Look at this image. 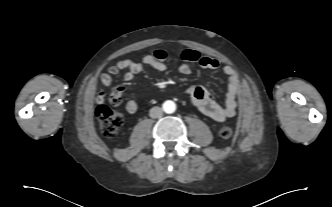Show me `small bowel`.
<instances>
[{
  "label": "small bowel",
  "instance_id": "1",
  "mask_svg": "<svg viewBox=\"0 0 332 207\" xmlns=\"http://www.w3.org/2000/svg\"><path fill=\"white\" fill-rule=\"evenodd\" d=\"M167 53L163 49H156L150 54L145 55L140 61L136 62L130 59H124L116 62L109 70L102 74L101 82L104 86H110L112 79L119 71L127 70L124 75L126 81H133L137 74L141 73L146 67H152L160 72L167 70ZM181 60L178 70L183 75L191 73V68L188 63H197L204 69L216 70L220 67V63L213 58L202 56L196 50H185L181 54ZM223 73L228 81V90L226 93V100L224 105L218 104L210 94V92L203 86H190L185 89V93L190 97L191 102L195 108L201 113L210 117L217 122H224L236 114L237 95L240 89L239 76L231 66H224ZM125 88L119 86L115 92L121 97ZM126 110L130 114H135L138 111V105L134 100L126 103Z\"/></svg>",
  "mask_w": 332,
  "mask_h": 207
}]
</instances>
